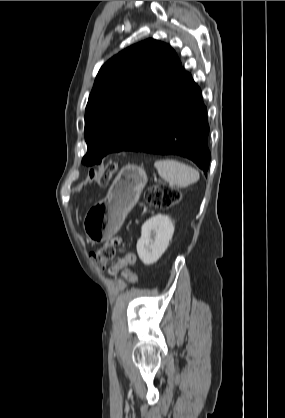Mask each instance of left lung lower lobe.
Here are the masks:
<instances>
[{"label": "left lung lower lobe", "instance_id": "0a47b994", "mask_svg": "<svg viewBox=\"0 0 285 418\" xmlns=\"http://www.w3.org/2000/svg\"><path fill=\"white\" fill-rule=\"evenodd\" d=\"M207 108L199 86L182 67L124 151L174 154L207 172Z\"/></svg>", "mask_w": 285, "mask_h": 418}]
</instances>
